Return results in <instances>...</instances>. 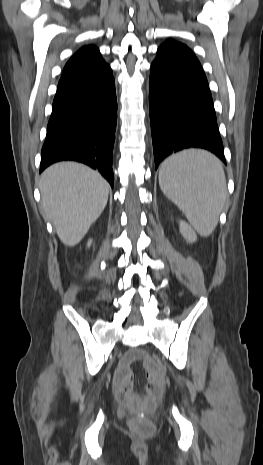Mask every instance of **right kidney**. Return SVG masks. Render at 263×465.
Wrapping results in <instances>:
<instances>
[{
    "label": "right kidney",
    "instance_id": "ca27d5eb",
    "mask_svg": "<svg viewBox=\"0 0 263 465\" xmlns=\"http://www.w3.org/2000/svg\"><path fill=\"white\" fill-rule=\"evenodd\" d=\"M91 243H92V240H89L87 246L89 247Z\"/></svg>",
    "mask_w": 263,
    "mask_h": 465
}]
</instances>
